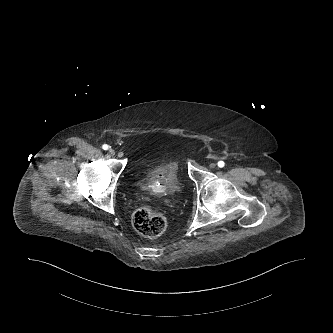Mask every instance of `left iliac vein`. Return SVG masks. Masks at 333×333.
<instances>
[{"mask_svg":"<svg viewBox=\"0 0 333 333\" xmlns=\"http://www.w3.org/2000/svg\"><path fill=\"white\" fill-rule=\"evenodd\" d=\"M209 167H210V168H215V167H216V164H215V163H210Z\"/></svg>","mask_w":333,"mask_h":333,"instance_id":"4c4485c4","label":"left iliac vein"}]
</instances>
